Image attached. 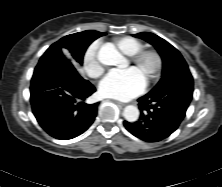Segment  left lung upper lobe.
<instances>
[{"label":"left lung upper lobe","mask_w":222,"mask_h":187,"mask_svg":"<svg viewBox=\"0 0 222 187\" xmlns=\"http://www.w3.org/2000/svg\"><path fill=\"white\" fill-rule=\"evenodd\" d=\"M134 37L152 44L160 54L163 62L162 76L150 93H163V96L174 97L182 89V82L192 79L188 65L180 52L164 39L150 32H141Z\"/></svg>","instance_id":"obj_1"}]
</instances>
